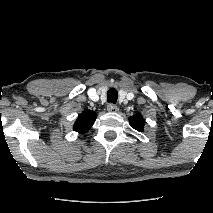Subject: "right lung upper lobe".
<instances>
[{"label":"right lung upper lobe","mask_w":213,"mask_h":213,"mask_svg":"<svg viewBox=\"0 0 213 213\" xmlns=\"http://www.w3.org/2000/svg\"><path fill=\"white\" fill-rule=\"evenodd\" d=\"M96 119V113L90 110L83 111L77 118L74 124V131H77L81 134L87 132L90 127L93 125Z\"/></svg>","instance_id":"obj_1"}]
</instances>
